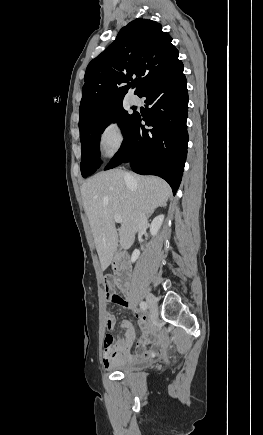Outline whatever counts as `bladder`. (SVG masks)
I'll use <instances>...</instances> for the list:
<instances>
[{
	"label": "bladder",
	"instance_id": "1",
	"mask_svg": "<svg viewBox=\"0 0 263 435\" xmlns=\"http://www.w3.org/2000/svg\"><path fill=\"white\" fill-rule=\"evenodd\" d=\"M149 363H150L149 360H142V361H137V362H132V363H126V364L118 366V370L124 371V372L137 371V370H141V369L145 368Z\"/></svg>",
	"mask_w": 263,
	"mask_h": 435
}]
</instances>
